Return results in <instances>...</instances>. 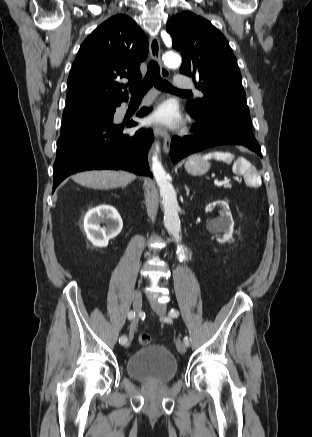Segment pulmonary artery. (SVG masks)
<instances>
[{"mask_svg":"<svg viewBox=\"0 0 312 437\" xmlns=\"http://www.w3.org/2000/svg\"><path fill=\"white\" fill-rule=\"evenodd\" d=\"M174 86L177 89H190L192 87V81L185 74H177L173 79Z\"/></svg>","mask_w":312,"mask_h":437,"instance_id":"1","label":"pulmonary artery"}]
</instances>
